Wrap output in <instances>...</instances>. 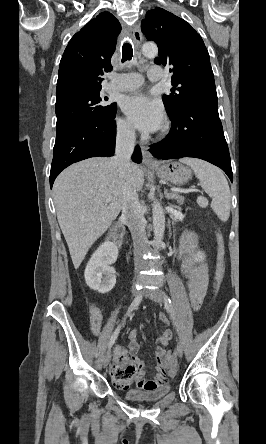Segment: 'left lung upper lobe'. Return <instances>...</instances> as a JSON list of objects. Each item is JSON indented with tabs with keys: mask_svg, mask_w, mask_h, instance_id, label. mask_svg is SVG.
<instances>
[{
	"mask_svg": "<svg viewBox=\"0 0 266 444\" xmlns=\"http://www.w3.org/2000/svg\"><path fill=\"white\" fill-rule=\"evenodd\" d=\"M141 28L147 40L158 45L155 63L171 65V93L163 95L168 115L199 101H217L209 53L201 36L183 19L162 9L146 13Z\"/></svg>",
	"mask_w": 266,
	"mask_h": 444,
	"instance_id": "5c2ea615",
	"label": "left lung upper lobe"
}]
</instances>
